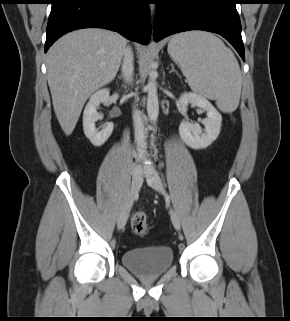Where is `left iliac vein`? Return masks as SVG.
<instances>
[{
	"instance_id": "left-iliac-vein-1",
	"label": "left iliac vein",
	"mask_w": 290,
	"mask_h": 321,
	"mask_svg": "<svg viewBox=\"0 0 290 321\" xmlns=\"http://www.w3.org/2000/svg\"><path fill=\"white\" fill-rule=\"evenodd\" d=\"M147 183L149 184V186H151L157 192H159V193L164 192L162 181L155 170L150 169V173L147 176ZM170 216H171L172 224L175 227V229L180 230V228H181L180 218H179L178 214L176 213V211L171 209Z\"/></svg>"
}]
</instances>
